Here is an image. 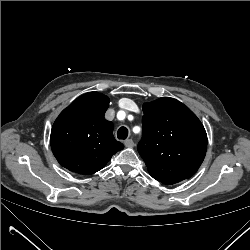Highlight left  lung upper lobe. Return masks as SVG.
Here are the masks:
<instances>
[{"instance_id":"1","label":"left lung upper lobe","mask_w":250,"mask_h":250,"mask_svg":"<svg viewBox=\"0 0 250 250\" xmlns=\"http://www.w3.org/2000/svg\"><path fill=\"white\" fill-rule=\"evenodd\" d=\"M143 133L138 152L149 174L162 183L189 179L202 164L207 135L183 103L162 97L143 105Z\"/></svg>"}]
</instances>
